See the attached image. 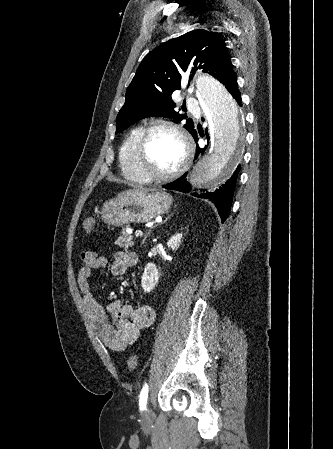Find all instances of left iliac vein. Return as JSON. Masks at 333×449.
<instances>
[{
  "instance_id": "obj_1",
  "label": "left iliac vein",
  "mask_w": 333,
  "mask_h": 449,
  "mask_svg": "<svg viewBox=\"0 0 333 449\" xmlns=\"http://www.w3.org/2000/svg\"><path fill=\"white\" fill-rule=\"evenodd\" d=\"M151 416H152V410L150 408H148L147 411H144L142 413V419L143 420H146V421L150 420Z\"/></svg>"
}]
</instances>
